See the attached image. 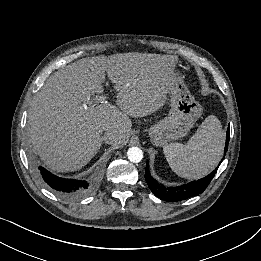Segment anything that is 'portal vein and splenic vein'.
<instances>
[{"label":"portal vein and splenic vein","instance_id":"portal-vein-and-splenic-vein-1","mask_svg":"<svg viewBox=\"0 0 261 261\" xmlns=\"http://www.w3.org/2000/svg\"><path fill=\"white\" fill-rule=\"evenodd\" d=\"M106 100V97L105 96H96L93 100L90 101V103L92 105H94V103H104Z\"/></svg>","mask_w":261,"mask_h":261}]
</instances>
